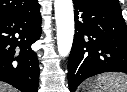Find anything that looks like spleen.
I'll list each match as a JSON object with an SVG mask.
<instances>
[{
	"instance_id": "3e777b00",
	"label": "spleen",
	"mask_w": 127,
	"mask_h": 92,
	"mask_svg": "<svg viewBox=\"0 0 127 92\" xmlns=\"http://www.w3.org/2000/svg\"><path fill=\"white\" fill-rule=\"evenodd\" d=\"M93 92H127V75L122 73L99 75L94 81Z\"/></svg>"
}]
</instances>
